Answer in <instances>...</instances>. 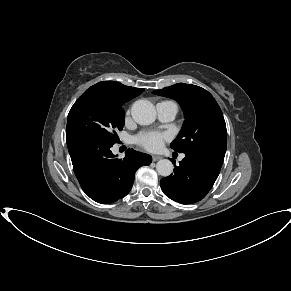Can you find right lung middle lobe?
I'll use <instances>...</instances> for the list:
<instances>
[{"instance_id": "dd1d6c3e", "label": "right lung middle lobe", "mask_w": 291, "mask_h": 291, "mask_svg": "<svg viewBox=\"0 0 291 291\" xmlns=\"http://www.w3.org/2000/svg\"><path fill=\"white\" fill-rule=\"evenodd\" d=\"M123 104L105 94L86 91L68 114L66 135H84L112 146L118 139L115 130L124 126Z\"/></svg>"}]
</instances>
